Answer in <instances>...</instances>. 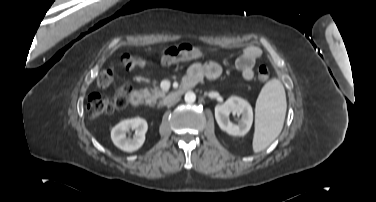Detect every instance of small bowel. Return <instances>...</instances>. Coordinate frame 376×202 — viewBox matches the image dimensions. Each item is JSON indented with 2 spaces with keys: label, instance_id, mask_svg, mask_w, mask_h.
I'll return each mask as SVG.
<instances>
[{
  "label": "small bowel",
  "instance_id": "c3829d8e",
  "mask_svg": "<svg viewBox=\"0 0 376 202\" xmlns=\"http://www.w3.org/2000/svg\"><path fill=\"white\" fill-rule=\"evenodd\" d=\"M261 55L262 52L258 47L250 46L237 58L236 67L245 80H251L253 78V67L261 58ZM220 74L221 67L216 62L209 61L205 64L194 63L188 68L184 83L193 86L203 78L217 79Z\"/></svg>",
  "mask_w": 376,
  "mask_h": 202
}]
</instances>
